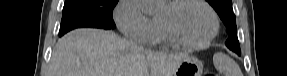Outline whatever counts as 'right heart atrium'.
I'll use <instances>...</instances> for the list:
<instances>
[{"label": "right heart atrium", "mask_w": 287, "mask_h": 76, "mask_svg": "<svg viewBox=\"0 0 287 76\" xmlns=\"http://www.w3.org/2000/svg\"><path fill=\"white\" fill-rule=\"evenodd\" d=\"M114 20L126 37L140 43L151 41L153 22L143 12L139 0H121L115 9Z\"/></svg>", "instance_id": "d8ad5b80"}]
</instances>
